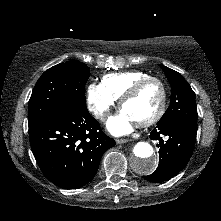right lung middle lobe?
<instances>
[{"label": "right lung middle lobe", "mask_w": 221, "mask_h": 221, "mask_svg": "<svg viewBox=\"0 0 221 221\" xmlns=\"http://www.w3.org/2000/svg\"><path fill=\"white\" fill-rule=\"evenodd\" d=\"M90 69L68 61L46 70L37 81L28 105V125L56 116L72 104L85 105V84Z\"/></svg>", "instance_id": "right-lung-middle-lobe-1"}]
</instances>
